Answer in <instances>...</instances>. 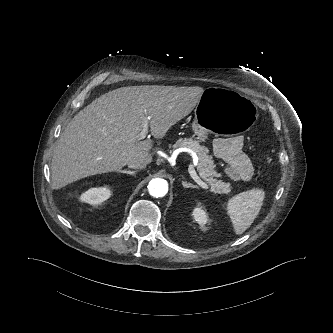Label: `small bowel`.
I'll return each mask as SVG.
<instances>
[{
    "label": "small bowel",
    "mask_w": 333,
    "mask_h": 333,
    "mask_svg": "<svg viewBox=\"0 0 333 333\" xmlns=\"http://www.w3.org/2000/svg\"><path fill=\"white\" fill-rule=\"evenodd\" d=\"M213 152L225 163V173L230 180L248 182L252 179L253 163L244 152V139L241 136L215 139Z\"/></svg>",
    "instance_id": "obj_1"
}]
</instances>
